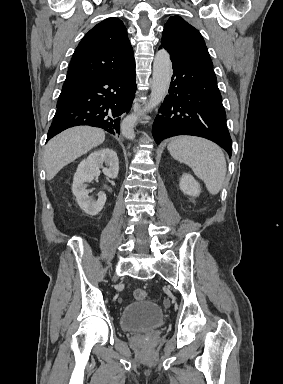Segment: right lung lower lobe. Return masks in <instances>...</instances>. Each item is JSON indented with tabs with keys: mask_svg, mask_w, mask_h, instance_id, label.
<instances>
[{
	"mask_svg": "<svg viewBox=\"0 0 283 384\" xmlns=\"http://www.w3.org/2000/svg\"><path fill=\"white\" fill-rule=\"evenodd\" d=\"M135 66L131 69L89 80L58 100L47 141L61 131L78 125L100 127L120 133L123 114L131 109L136 91Z\"/></svg>",
	"mask_w": 283,
	"mask_h": 384,
	"instance_id": "right-lung-lower-lobe-1",
	"label": "right lung lower lobe"
}]
</instances>
